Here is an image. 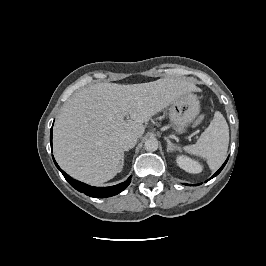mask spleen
Segmentation results:
<instances>
[{
  "label": "spleen",
  "instance_id": "spleen-1",
  "mask_svg": "<svg viewBox=\"0 0 266 266\" xmlns=\"http://www.w3.org/2000/svg\"><path fill=\"white\" fill-rule=\"evenodd\" d=\"M229 144V128L223 115L216 111L210 125L193 145L185 146V152L207 160L211 170L224 162Z\"/></svg>",
  "mask_w": 266,
  "mask_h": 266
}]
</instances>
